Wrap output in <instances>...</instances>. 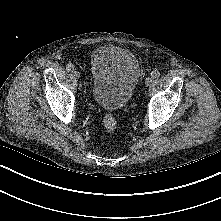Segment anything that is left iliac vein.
<instances>
[{"label":"left iliac vein","mask_w":221,"mask_h":221,"mask_svg":"<svg viewBox=\"0 0 221 221\" xmlns=\"http://www.w3.org/2000/svg\"><path fill=\"white\" fill-rule=\"evenodd\" d=\"M151 83H152V78H151V77H147V78L145 79V85H146V86H149Z\"/></svg>","instance_id":"left-iliac-vein-1"}]
</instances>
